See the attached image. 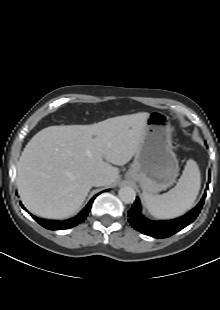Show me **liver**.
I'll return each instance as SVG.
<instances>
[{
  "label": "liver",
  "instance_id": "liver-1",
  "mask_svg": "<svg viewBox=\"0 0 220 310\" xmlns=\"http://www.w3.org/2000/svg\"><path fill=\"white\" fill-rule=\"evenodd\" d=\"M147 112L117 116L91 125L50 126L24 148L17 165V187L33 214L60 219L84 202L95 175L114 183L117 167L128 163L143 139Z\"/></svg>",
  "mask_w": 220,
  "mask_h": 310
}]
</instances>
